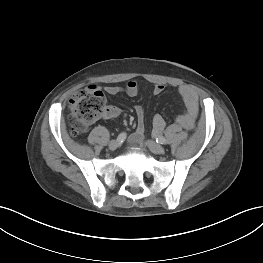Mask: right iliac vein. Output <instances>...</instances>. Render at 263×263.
Here are the masks:
<instances>
[{"label":"right iliac vein","instance_id":"right-iliac-vein-1","mask_svg":"<svg viewBox=\"0 0 263 263\" xmlns=\"http://www.w3.org/2000/svg\"><path fill=\"white\" fill-rule=\"evenodd\" d=\"M118 146H119V141L118 140H112L109 143V149L112 150V151L116 150L118 148Z\"/></svg>","mask_w":263,"mask_h":263}]
</instances>
